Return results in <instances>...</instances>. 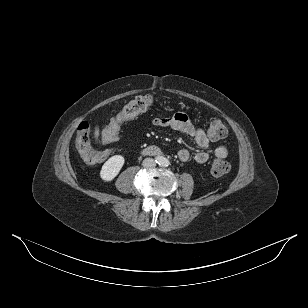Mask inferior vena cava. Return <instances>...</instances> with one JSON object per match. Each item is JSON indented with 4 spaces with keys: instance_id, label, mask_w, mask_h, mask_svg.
<instances>
[{
    "instance_id": "1",
    "label": "inferior vena cava",
    "mask_w": 308,
    "mask_h": 308,
    "mask_svg": "<svg viewBox=\"0 0 308 308\" xmlns=\"http://www.w3.org/2000/svg\"><path fill=\"white\" fill-rule=\"evenodd\" d=\"M142 165L145 168H154L156 166V162L153 158H145Z\"/></svg>"
}]
</instances>
